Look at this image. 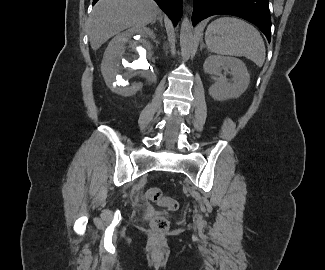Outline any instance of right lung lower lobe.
<instances>
[{
    "instance_id": "right-lung-lower-lobe-1",
    "label": "right lung lower lobe",
    "mask_w": 325,
    "mask_h": 270,
    "mask_svg": "<svg viewBox=\"0 0 325 270\" xmlns=\"http://www.w3.org/2000/svg\"><path fill=\"white\" fill-rule=\"evenodd\" d=\"M98 0H93V5ZM159 7L172 19L174 25L182 16V0H154Z\"/></svg>"
}]
</instances>
